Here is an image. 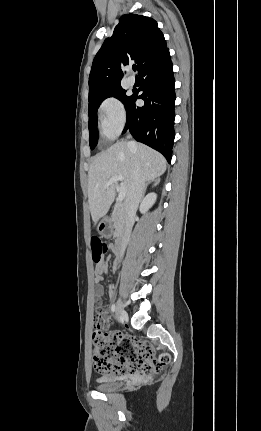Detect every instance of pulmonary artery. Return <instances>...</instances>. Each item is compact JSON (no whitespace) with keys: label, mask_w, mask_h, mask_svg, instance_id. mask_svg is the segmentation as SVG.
<instances>
[{"label":"pulmonary artery","mask_w":261,"mask_h":431,"mask_svg":"<svg viewBox=\"0 0 261 431\" xmlns=\"http://www.w3.org/2000/svg\"><path fill=\"white\" fill-rule=\"evenodd\" d=\"M127 83H128L130 86H133V85L135 84V78H134V77H132V76H129V77H128V79H127Z\"/></svg>","instance_id":"pulmonary-artery-1"}]
</instances>
